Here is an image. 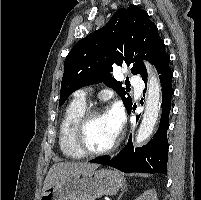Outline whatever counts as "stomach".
<instances>
[{"mask_svg": "<svg viewBox=\"0 0 201 200\" xmlns=\"http://www.w3.org/2000/svg\"><path fill=\"white\" fill-rule=\"evenodd\" d=\"M124 184L117 171L100 169L72 174L45 190L40 200H95L113 195Z\"/></svg>", "mask_w": 201, "mask_h": 200, "instance_id": "1", "label": "stomach"}]
</instances>
